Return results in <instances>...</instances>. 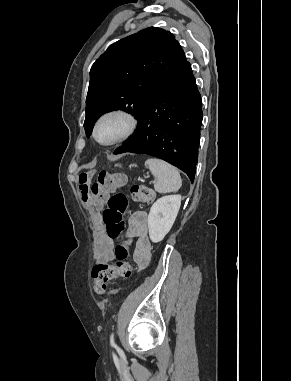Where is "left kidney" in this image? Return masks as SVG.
I'll return each instance as SVG.
<instances>
[{"mask_svg":"<svg viewBox=\"0 0 291 381\" xmlns=\"http://www.w3.org/2000/svg\"><path fill=\"white\" fill-rule=\"evenodd\" d=\"M181 205V195H167L159 198L148 215L149 237L153 243L164 239L172 228Z\"/></svg>","mask_w":291,"mask_h":381,"instance_id":"5707ae66","label":"left kidney"}]
</instances>
